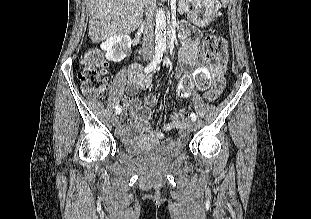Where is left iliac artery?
I'll list each match as a JSON object with an SVG mask.
<instances>
[{"mask_svg":"<svg viewBox=\"0 0 311 219\" xmlns=\"http://www.w3.org/2000/svg\"><path fill=\"white\" fill-rule=\"evenodd\" d=\"M190 117L193 121H196L197 119L196 114L194 112L191 113Z\"/></svg>","mask_w":311,"mask_h":219,"instance_id":"obj_1","label":"left iliac artery"}]
</instances>
